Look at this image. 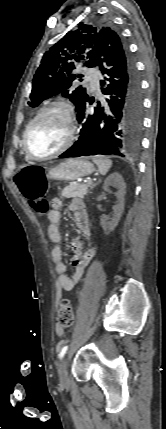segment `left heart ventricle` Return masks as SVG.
Returning a JSON list of instances; mask_svg holds the SVG:
<instances>
[{"label":"left heart ventricle","instance_id":"1","mask_svg":"<svg viewBox=\"0 0 166 429\" xmlns=\"http://www.w3.org/2000/svg\"><path fill=\"white\" fill-rule=\"evenodd\" d=\"M66 121L58 111L42 116L33 126L28 146L36 156H46L56 151L66 139Z\"/></svg>","mask_w":166,"mask_h":429}]
</instances>
